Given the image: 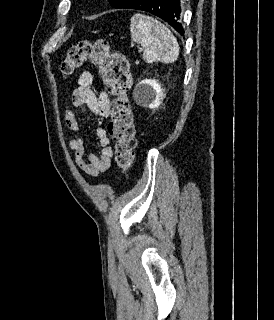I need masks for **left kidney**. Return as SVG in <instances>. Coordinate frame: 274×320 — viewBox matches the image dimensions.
I'll use <instances>...</instances> for the list:
<instances>
[{
	"mask_svg": "<svg viewBox=\"0 0 274 320\" xmlns=\"http://www.w3.org/2000/svg\"><path fill=\"white\" fill-rule=\"evenodd\" d=\"M161 84L157 80H142L137 84L133 96L135 102L144 108H159L161 100L165 98Z\"/></svg>",
	"mask_w": 274,
	"mask_h": 320,
	"instance_id": "obj_1",
	"label": "left kidney"
}]
</instances>
